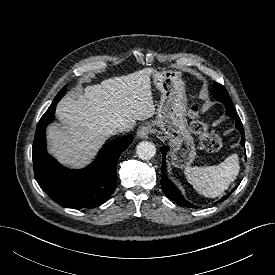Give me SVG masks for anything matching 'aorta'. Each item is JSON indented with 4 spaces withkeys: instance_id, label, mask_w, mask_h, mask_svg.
I'll return each instance as SVG.
<instances>
[{
    "instance_id": "aorta-1",
    "label": "aorta",
    "mask_w": 275,
    "mask_h": 275,
    "mask_svg": "<svg viewBox=\"0 0 275 275\" xmlns=\"http://www.w3.org/2000/svg\"><path fill=\"white\" fill-rule=\"evenodd\" d=\"M137 156L142 160H149L156 154V147L149 141H142L136 147Z\"/></svg>"
}]
</instances>
